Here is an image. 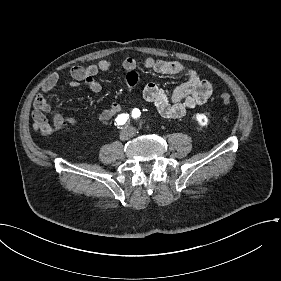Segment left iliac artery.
Masks as SVG:
<instances>
[{"mask_svg": "<svg viewBox=\"0 0 281 281\" xmlns=\"http://www.w3.org/2000/svg\"><path fill=\"white\" fill-rule=\"evenodd\" d=\"M140 114L141 113H140L139 109H137V108L133 109V111H132V117L133 118H135V119L139 118Z\"/></svg>", "mask_w": 281, "mask_h": 281, "instance_id": "obj_1", "label": "left iliac artery"}]
</instances>
